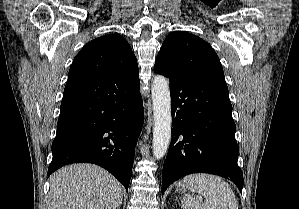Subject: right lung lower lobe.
I'll return each mask as SVG.
<instances>
[{
    "instance_id": "right-lung-lower-lobe-1",
    "label": "right lung lower lobe",
    "mask_w": 299,
    "mask_h": 209,
    "mask_svg": "<svg viewBox=\"0 0 299 209\" xmlns=\"http://www.w3.org/2000/svg\"><path fill=\"white\" fill-rule=\"evenodd\" d=\"M139 78L119 75L68 80L61 102L48 176L77 162L97 164L126 188L144 122Z\"/></svg>"
}]
</instances>
